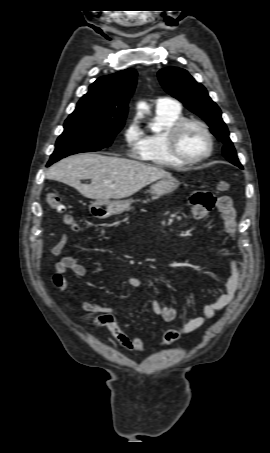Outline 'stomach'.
Instances as JSON below:
<instances>
[{
	"label": "stomach",
	"instance_id": "1",
	"mask_svg": "<svg viewBox=\"0 0 270 453\" xmlns=\"http://www.w3.org/2000/svg\"><path fill=\"white\" fill-rule=\"evenodd\" d=\"M179 185V182L173 178H162L157 183L152 185L151 192L155 196H162L174 191ZM130 200H103L98 199L91 203L89 212L92 216L98 219H106L112 215H118L124 211L130 210Z\"/></svg>",
	"mask_w": 270,
	"mask_h": 453
}]
</instances>
